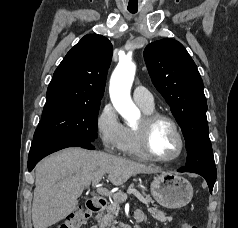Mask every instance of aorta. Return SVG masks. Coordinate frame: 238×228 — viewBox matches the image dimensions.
Returning <instances> with one entry per match:
<instances>
[{
	"mask_svg": "<svg viewBox=\"0 0 238 228\" xmlns=\"http://www.w3.org/2000/svg\"><path fill=\"white\" fill-rule=\"evenodd\" d=\"M136 66L129 60H120L110 79V98L115 109L128 122L135 120L139 110L130 96Z\"/></svg>",
	"mask_w": 238,
	"mask_h": 228,
	"instance_id": "obj_1",
	"label": "aorta"
}]
</instances>
